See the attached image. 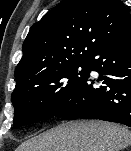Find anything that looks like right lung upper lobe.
<instances>
[{"mask_svg":"<svg viewBox=\"0 0 131 151\" xmlns=\"http://www.w3.org/2000/svg\"><path fill=\"white\" fill-rule=\"evenodd\" d=\"M131 34L120 0H63L30 28L16 67V88L47 72L88 62L97 49Z\"/></svg>","mask_w":131,"mask_h":151,"instance_id":"cb5924a9","label":"right lung upper lobe"}]
</instances>
